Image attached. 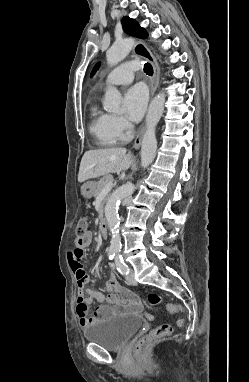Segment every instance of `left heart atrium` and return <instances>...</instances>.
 <instances>
[{
  "mask_svg": "<svg viewBox=\"0 0 249 382\" xmlns=\"http://www.w3.org/2000/svg\"><path fill=\"white\" fill-rule=\"evenodd\" d=\"M148 95L141 85L131 87L124 96L125 114L131 121H139L147 106Z\"/></svg>",
  "mask_w": 249,
  "mask_h": 382,
  "instance_id": "1",
  "label": "left heart atrium"
}]
</instances>
